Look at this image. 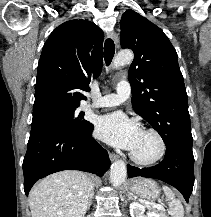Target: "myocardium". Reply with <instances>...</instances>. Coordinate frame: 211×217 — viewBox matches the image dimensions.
<instances>
[{
	"label": "myocardium",
	"mask_w": 211,
	"mask_h": 217,
	"mask_svg": "<svg viewBox=\"0 0 211 217\" xmlns=\"http://www.w3.org/2000/svg\"><path fill=\"white\" fill-rule=\"evenodd\" d=\"M143 132L150 133L156 137L159 143L158 153L153 158H150V159L139 158L132 151L130 152L129 155H130L131 160L135 162L136 164L143 165V166H151V165L157 164L164 158L166 154L167 146H166L164 137L158 130L154 128H145L143 129Z\"/></svg>",
	"instance_id": "obj_1"
}]
</instances>
